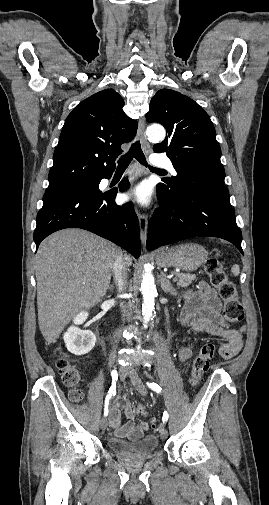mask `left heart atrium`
<instances>
[{
  "label": "left heart atrium",
  "mask_w": 269,
  "mask_h": 505,
  "mask_svg": "<svg viewBox=\"0 0 269 505\" xmlns=\"http://www.w3.org/2000/svg\"><path fill=\"white\" fill-rule=\"evenodd\" d=\"M123 200L140 205H148L150 202L149 189L144 184H138L124 193Z\"/></svg>",
  "instance_id": "obj_1"
}]
</instances>
